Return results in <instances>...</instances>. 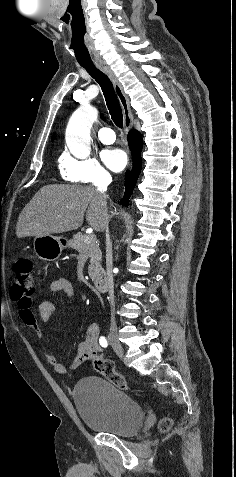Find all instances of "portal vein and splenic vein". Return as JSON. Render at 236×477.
I'll return each instance as SVG.
<instances>
[{
	"mask_svg": "<svg viewBox=\"0 0 236 477\" xmlns=\"http://www.w3.org/2000/svg\"><path fill=\"white\" fill-rule=\"evenodd\" d=\"M95 239H96V236L94 234H90V235L86 236L85 243H90L91 241H93Z\"/></svg>",
	"mask_w": 236,
	"mask_h": 477,
	"instance_id": "obj_1",
	"label": "portal vein and splenic vein"
}]
</instances>
